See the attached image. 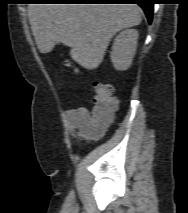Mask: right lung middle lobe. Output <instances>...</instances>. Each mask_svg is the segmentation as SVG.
Returning <instances> with one entry per match:
<instances>
[{
	"label": "right lung middle lobe",
	"instance_id": "1",
	"mask_svg": "<svg viewBox=\"0 0 188 213\" xmlns=\"http://www.w3.org/2000/svg\"><path fill=\"white\" fill-rule=\"evenodd\" d=\"M32 2H44L46 0H31Z\"/></svg>",
	"mask_w": 188,
	"mask_h": 213
}]
</instances>
